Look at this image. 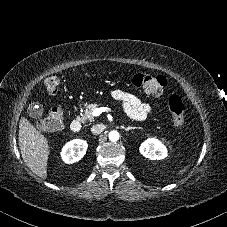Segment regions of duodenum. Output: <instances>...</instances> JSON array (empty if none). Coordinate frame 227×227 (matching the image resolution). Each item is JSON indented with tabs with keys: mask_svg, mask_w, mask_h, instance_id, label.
I'll return each instance as SVG.
<instances>
[{
	"mask_svg": "<svg viewBox=\"0 0 227 227\" xmlns=\"http://www.w3.org/2000/svg\"><path fill=\"white\" fill-rule=\"evenodd\" d=\"M70 129L73 132H80L82 129V121L79 117H75L72 119L71 123H70Z\"/></svg>",
	"mask_w": 227,
	"mask_h": 227,
	"instance_id": "duodenum-1",
	"label": "duodenum"
}]
</instances>
